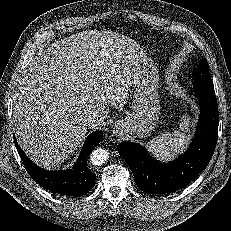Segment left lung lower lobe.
Listing matches in <instances>:
<instances>
[{
	"instance_id": "obj_1",
	"label": "left lung lower lobe",
	"mask_w": 231,
	"mask_h": 231,
	"mask_svg": "<svg viewBox=\"0 0 231 231\" xmlns=\"http://www.w3.org/2000/svg\"><path fill=\"white\" fill-rule=\"evenodd\" d=\"M201 113L189 149L170 163H159L144 148L122 142L117 150L132 170L137 186L146 193L166 194L182 189L206 168L218 137V106L213 84L194 83Z\"/></svg>"
}]
</instances>
